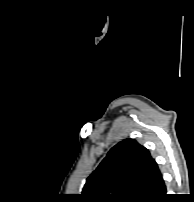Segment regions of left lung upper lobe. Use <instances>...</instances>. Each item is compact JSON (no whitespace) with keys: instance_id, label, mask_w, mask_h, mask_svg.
I'll return each mask as SVG.
<instances>
[{"instance_id":"1","label":"left lung upper lobe","mask_w":194,"mask_h":202,"mask_svg":"<svg viewBox=\"0 0 194 202\" xmlns=\"http://www.w3.org/2000/svg\"><path fill=\"white\" fill-rule=\"evenodd\" d=\"M162 174L149 151L134 139L115 145L87 178L85 202H152Z\"/></svg>"}]
</instances>
